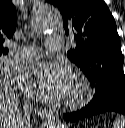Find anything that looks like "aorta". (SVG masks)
<instances>
[{"label": "aorta", "mask_w": 125, "mask_h": 128, "mask_svg": "<svg viewBox=\"0 0 125 128\" xmlns=\"http://www.w3.org/2000/svg\"><path fill=\"white\" fill-rule=\"evenodd\" d=\"M61 24V15L59 11L51 5H43L35 11L33 19V28L38 33L55 31ZM58 118L48 119L41 128H63Z\"/></svg>", "instance_id": "obj_1"}]
</instances>
